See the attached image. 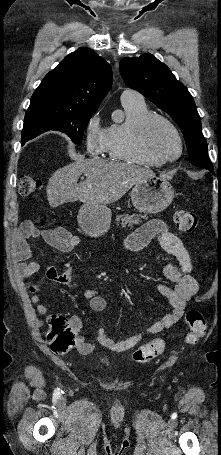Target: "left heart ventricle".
Listing matches in <instances>:
<instances>
[{"mask_svg": "<svg viewBox=\"0 0 221 455\" xmlns=\"http://www.w3.org/2000/svg\"><path fill=\"white\" fill-rule=\"evenodd\" d=\"M148 144L162 158H172L179 151L178 141L172 130L163 122L156 121L149 129Z\"/></svg>", "mask_w": 221, "mask_h": 455, "instance_id": "left-heart-ventricle-1", "label": "left heart ventricle"}]
</instances>
